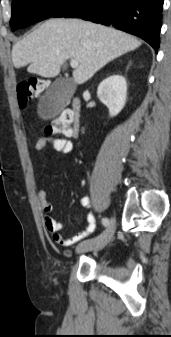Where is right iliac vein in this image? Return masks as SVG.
Instances as JSON below:
<instances>
[{
  "mask_svg": "<svg viewBox=\"0 0 171 337\" xmlns=\"http://www.w3.org/2000/svg\"><path fill=\"white\" fill-rule=\"evenodd\" d=\"M114 231H115V221L114 219H111L109 226L103 231V233H101L99 236L93 239L81 242L77 246L76 252L83 253L87 251L101 250L109 243V241L113 237Z\"/></svg>",
  "mask_w": 171,
  "mask_h": 337,
  "instance_id": "right-iliac-vein-1",
  "label": "right iliac vein"
}]
</instances>
